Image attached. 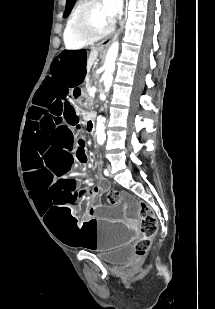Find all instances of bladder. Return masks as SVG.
<instances>
[{"label": "bladder", "instance_id": "obj_1", "mask_svg": "<svg viewBox=\"0 0 215 309\" xmlns=\"http://www.w3.org/2000/svg\"><path fill=\"white\" fill-rule=\"evenodd\" d=\"M133 250L129 246L121 247L113 252L99 254L98 257L101 261L110 265H121L131 259Z\"/></svg>", "mask_w": 215, "mask_h": 309}]
</instances>
